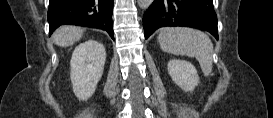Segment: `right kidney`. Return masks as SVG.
<instances>
[{"label": "right kidney", "instance_id": "1", "mask_svg": "<svg viewBox=\"0 0 273 118\" xmlns=\"http://www.w3.org/2000/svg\"><path fill=\"white\" fill-rule=\"evenodd\" d=\"M106 51L102 43L88 40L73 51L70 61V79L74 94L80 100H88L95 92L102 77Z\"/></svg>", "mask_w": 273, "mask_h": 118}]
</instances>
